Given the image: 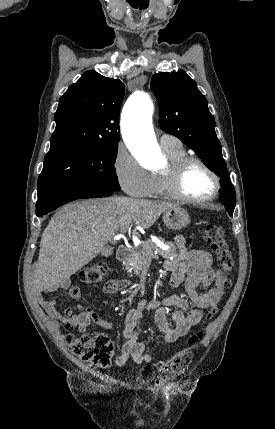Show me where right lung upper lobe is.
I'll return each instance as SVG.
<instances>
[{"label": "right lung upper lobe", "instance_id": "right-lung-upper-lobe-1", "mask_svg": "<svg viewBox=\"0 0 275 429\" xmlns=\"http://www.w3.org/2000/svg\"><path fill=\"white\" fill-rule=\"evenodd\" d=\"M123 96L124 85L119 79L91 70L84 72L60 98L50 150L117 145Z\"/></svg>", "mask_w": 275, "mask_h": 429}]
</instances>
